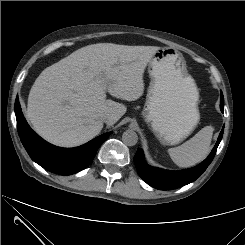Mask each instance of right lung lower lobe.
Segmentation results:
<instances>
[{
    "label": "right lung lower lobe",
    "mask_w": 245,
    "mask_h": 245,
    "mask_svg": "<svg viewBox=\"0 0 245 245\" xmlns=\"http://www.w3.org/2000/svg\"><path fill=\"white\" fill-rule=\"evenodd\" d=\"M15 114L21 142L31 159L44 169L61 175H71L85 169L91 164L100 145L111 134H102L76 148H60L49 144L30 128L18 98L15 101Z\"/></svg>",
    "instance_id": "right-lung-lower-lobe-1"
}]
</instances>
